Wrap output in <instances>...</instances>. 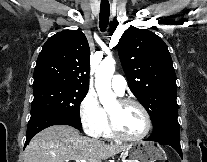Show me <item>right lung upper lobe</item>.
Wrapping results in <instances>:
<instances>
[{
  "label": "right lung upper lobe",
  "mask_w": 207,
  "mask_h": 162,
  "mask_svg": "<svg viewBox=\"0 0 207 162\" xmlns=\"http://www.w3.org/2000/svg\"><path fill=\"white\" fill-rule=\"evenodd\" d=\"M90 49L79 30H64L50 37L38 56L33 88L58 85L88 90Z\"/></svg>",
  "instance_id": "right-lung-upper-lobe-1"
}]
</instances>
